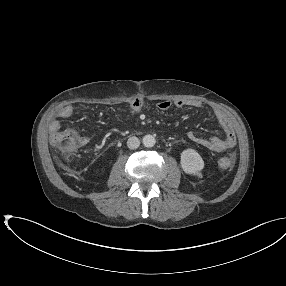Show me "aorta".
<instances>
[{"label": "aorta", "mask_w": 286, "mask_h": 286, "mask_svg": "<svg viewBox=\"0 0 286 286\" xmlns=\"http://www.w3.org/2000/svg\"><path fill=\"white\" fill-rule=\"evenodd\" d=\"M142 143L145 147L150 148V147H153L155 145L156 140H155L153 135L148 134V135H145L143 137Z\"/></svg>", "instance_id": "obj_1"}]
</instances>
